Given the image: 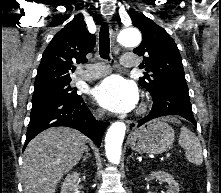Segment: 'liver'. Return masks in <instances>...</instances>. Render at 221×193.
Masks as SVG:
<instances>
[{
    "label": "liver",
    "instance_id": "6515ba94",
    "mask_svg": "<svg viewBox=\"0 0 221 193\" xmlns=\"http://www.w3.org/2000/svg\"><path fill=\"white\" fill-rule=\"evenodd\" d=\"M86 142V136L67 127H52L38 134L23 155L24 193H55L64 174L82 158Z\"/></svg>",
    "mask_w": 221,
    "mask_h": 193
}]
</instances>
